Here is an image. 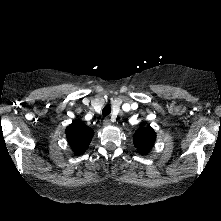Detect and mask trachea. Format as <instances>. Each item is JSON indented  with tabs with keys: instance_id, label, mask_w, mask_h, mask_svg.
<instances>
[{
	"instance_id": "3493384b",
	"label": "trachea",
	"mask_w": 221,
	"mask_h": 221,
	"mask_svg": "<svg viewBox=\"0 0 221 221\" xmlns=\"http://www.w3.org/2000/svg\"><path fill=\"white\" fill-rule=\"evenodd\" d=\"M111 113V106L110 105H106L103 110H102V115L104 117L109 116Z\"/></svg>"
}]
</instances>
